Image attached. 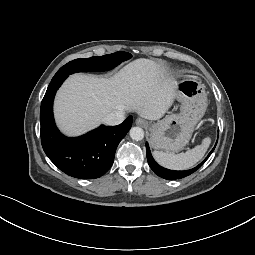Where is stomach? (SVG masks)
Masks as SVG:
<instances>
[{
  "instance_id": "1",
  "label": "stomach",
  "mask_w": 255,
  "mask_h": 255,
  "mask_svg": "<svg viewBox=\"0 0 255 255\" xmlns=\"http://www.w3.org/2000/svg\"><path fill=\"white\" fill-rule=\"evenodd\" d=\"M176 99L181 103L180 113L167 115L149 127L150 143L154 149L182 150L206 111L205 89L194 79H184L177 84Z\"/></svg>"
}]
</instances>
